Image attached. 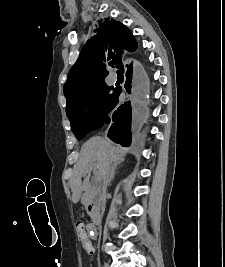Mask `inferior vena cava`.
Returning a JSON list of instances; mask_svg holds the SVG:
<instances>
[{"mask_svg":"<svg viewBox=\"0 0 225 267\" xmlns=\"http://www.w3.org/2000/svg\"><path fill=\"white\" fill-rule=\"evenodd\" d=\"M102 185L100 187V191H99V202L101 203V211H104V207H105V194H106V189L109 185V180H110V166H107L103 176H102Z\"/></svg>","mask_w":225,"mask_h":267,"instance_id":"inferior-vena-cava-1","label":"inferior vena cava"}]
</instances>
